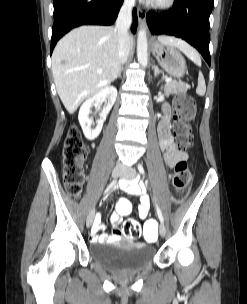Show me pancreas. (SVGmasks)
<instances>
[{"label":"pancreas","mask_w":247,"mask_h":304,"mask_svg":"<svg viewBox=\"0 0 247 304\" xmlns=\"http://www.w3.org/2000/svg\"><path fill=\"white\" fill-rule=\"evenodd\" d=\"M164 91L166 95L177 92L186 93L188 91V86L182 82L169 81L165 84Z\"/></svg>","instance_id":"pancreas-1"}]
</instances>
